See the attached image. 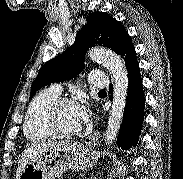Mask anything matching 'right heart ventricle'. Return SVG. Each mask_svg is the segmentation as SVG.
<instances>
[{"mask_svg":"<svg viewBox=\"0 0 183 179\" xmlns=\"http://www.w3.org/2000/svg\"><path fill=\"white\" fill-rule=\"evenodd\" d=\"M60 97L52 88L39 92L30 103L25 121L24 133L33 142H42L52 138L44 124V117L49 106Z\"/></svg>","mask_w":183,"mask_h":179,"instance_id":"e07e8e85","label":"right heart ventricle"}]
</instances>
